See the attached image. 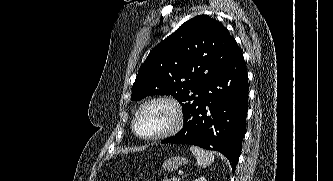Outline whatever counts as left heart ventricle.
<instances>
[{"label": "left heart ventricle", "instance_id": "b2bd125f", "mask_svg": "<svg viewBox=\"0 0 333 181\" xmlns=\"http://www.w3.org/2000/svg\"><path fill=\"white\" fill-rule=\"evenodd\" d=\"M173 122L171 108L163 103L146 107L138 116L136 128L143 136H152L165 131Z\"/></svg>", "mask_w": 333, "mask_h": 181}]
</instances>
